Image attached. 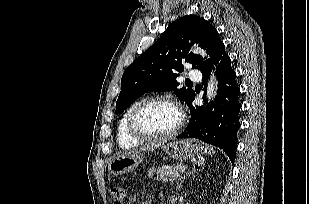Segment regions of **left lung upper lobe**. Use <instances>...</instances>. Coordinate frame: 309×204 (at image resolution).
<instances>
[{"instance_id":"5c2ea615","label":"left lung upper lobe","mask_w":309,"mask_h":204,"mask_svg":"<svg viewBox=\"0 0 309 204\" xmlns=\"http://www.w3.org/2000/svg\"><path fill=\"white\" fill-rule=\"evenodd\" d=\"M195 43L206 49L213 62L224 46L215 27L202 17L186 15L172 22L161 38L125 70L116 113H122L138 97L152 91H174L188 105L194 91L177 88L176 81L183 63H191L201 72L210 66L209 59L189 53V45Z\"/></svg>"}]
</instances>
